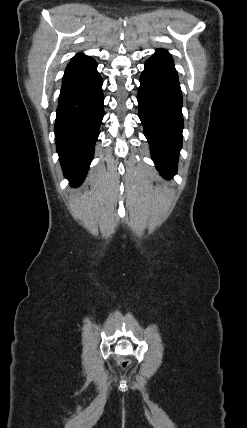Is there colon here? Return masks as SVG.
Masks as SVG:
<instances>
[{"mask_svg":"<svg viewBox=\"0 0 247 428\" xmlns=\"http://www.w3.org/2000/svg\"><path fill=\"white\" fill-rule=\"evenodd\" d=\"M121 364H122V365H126V364H127V362H126V361H121Z\"/></svg>","mask_w":247,"mask_h":428,"instance_id":"obj_1","label":"colon"}]
</instances>
